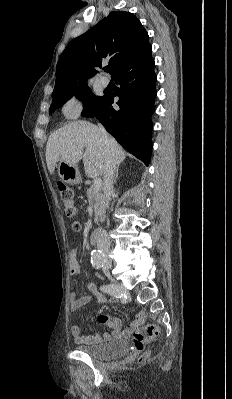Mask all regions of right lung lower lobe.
Segmentation results:
<instances>
[{"mask_svg":"<svg viewBox=\"0 0 232 399\" xmlns=\"http://www.w3.org/2000/svg\"><path fill=\"white\" fill-rule=\"evenodd\" d=\"M153 68L151 53L121 66L112 75L121 87L114 93L105 92L94 111L82 113L85 117H96L128 152L146 165L152 150L150 117L155 110L156 75ZM116 96L119 97L118 111L111 106Z\"/></svg>","mask_w":232,"mask_h":399,"instance_id":"1","label":"right lung lower lobe"}]
</instances>
